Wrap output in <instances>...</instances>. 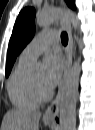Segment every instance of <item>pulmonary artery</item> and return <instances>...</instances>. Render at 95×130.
<instances>
[{"label":"pulmonary artery","instance_id":"obj_1","mask_svg":"<svg viewBox=\"0 0 95 130\" xmlns=\"http://www.w3.org/2000/svg\"><path fill=\"white\" fill-rule=\"evenodd\" d=\"M58 41L59 36L56 31L40 32L22 51L20 59L31 62L36 59L49 45L57 43Z\"/></svg>","mask_w":95,"mask_h":130}]
</instances>
